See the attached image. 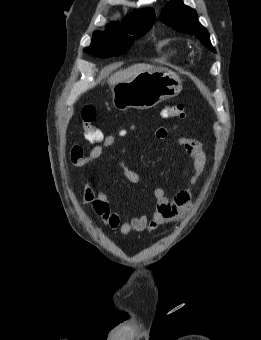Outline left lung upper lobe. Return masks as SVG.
<instances>
[{"instance_id":"obj_1","label":"left lung upper lobe","mask_w":261,"mask_h":340,"mask_svg":"<svg viewBox=\"0 0 261 340\" xmlns=\"http://www.w3.org/2000/svg\"><path fill=\"white\" fill-rule=\"evenodd\" d=\"M161 20L176 30L195 35L203 45L216 52L211 45L207 29L197 20L196 11L184 5L182 0L167 3L161 13Z\"/></svg>"}]
</instances>
